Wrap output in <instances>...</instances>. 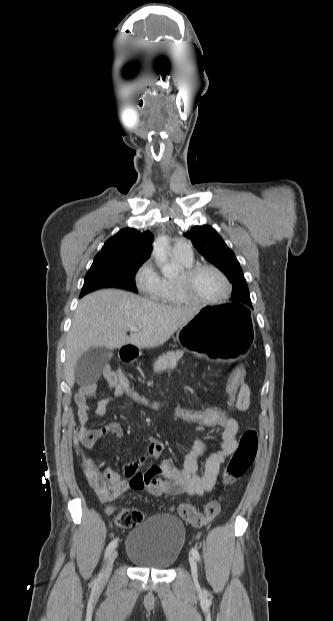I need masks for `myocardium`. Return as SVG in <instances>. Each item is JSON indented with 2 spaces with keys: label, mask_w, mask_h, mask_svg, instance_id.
Here are the masks:
<instances>
[{
  "label": "myocardium",
  "mask_w": 333,
  "mask_h": 621,
  "mask_svg": "<svg viewBox=\"0 0 333 621\" xmlns=\"http://www.w3.org/2000/svg\"><path fill=\"white\" fill-rule=\"evenodd\" d=\"M204 270H210L219 275L226 285V291L222 297L215 300H203L197 298L192 291L193 280L198 273ZM178 288L180 290L181 295L184 299L193 305L199 306H214L225 303L232 294L233 286L227 275L217 266L212 264H196L192 265L189 268L182 270L180 276L177 279Z\"/></svg>",
  "instance_id": "f54148a6"
}]
</instances>
